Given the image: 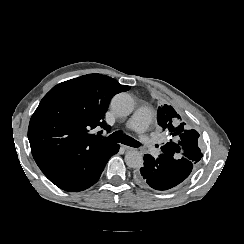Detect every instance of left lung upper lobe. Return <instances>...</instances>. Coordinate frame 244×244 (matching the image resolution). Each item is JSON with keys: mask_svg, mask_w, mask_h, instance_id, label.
I'll return each instance as SVG.
<instances>
[{"mask_svg": "<svg viewBox=\"0 0 244 244\" xmlns=\"http://www.w3.org/2000/svg\"><path fill=\"white\" fill-rule=\"evenodd\" d=\"M158 124L168 130L172 136L165 145L161 147L162 153L172 152L177 158H186L197 163L202 153L199 148V133L185 126L180 115L170 105H163L157 111Z\"/></svg>", "mask_w": 244, "mask_h": 244, "instance_id": "obj_1", "label": "left lung upper lobe"}]
</instances>
